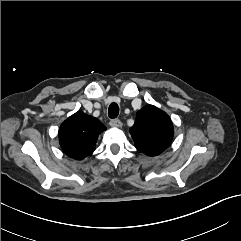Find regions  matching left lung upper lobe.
Returning <instances> with one entry per match:
<instances>
[{
  "label": "left lung upper lobe",
  "instance_id": "1",
  "mask_svg": "<svg viewBox=\"0 0 241 241\" xmlns=\"http://www.w3.org/2000/svg\"><path fill=\"white\" fill-rule=\"evenodd\" d=\"M130 134L139 151L156 156L170 145L174 130L171 119L164 111L147 105L137 112Z\"/></svg>",
  "mask_w": 241,
  "mask_h": 241
}]
</instances>
